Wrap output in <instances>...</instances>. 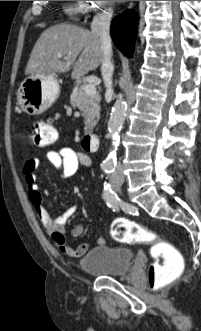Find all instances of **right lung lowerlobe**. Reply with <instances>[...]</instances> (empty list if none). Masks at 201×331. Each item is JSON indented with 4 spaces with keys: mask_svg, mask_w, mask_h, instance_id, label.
Wrapping results in <instances>:
<instances>
[{
    "mask_svg": "<svg viewBox=\"0 0 201 331\" xmlns=\"http://www.w3.org/2000/svg\"><path fill=\"white\" fill-rule=\"evenodd\" d=\"M111 36L116 47L127 57H132L136 39V16L132 10L113 19Z\"/></svg>",
    "mask_w": 201,
    "mask_h": 331,
    "instance_id": "right-lung-lower-lobe-1",
    "label": "right lung lower lobe"
}]
</instances>
